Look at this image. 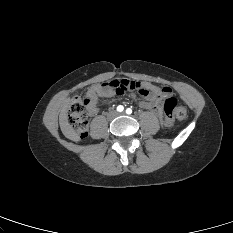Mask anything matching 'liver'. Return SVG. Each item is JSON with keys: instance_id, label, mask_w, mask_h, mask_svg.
Returning <instances> with one entry per match:
<instances>
[{"instance_id": "6515ba94", "label": "liver", "mask_w": 233, "mask_h": 233, "mask_svg": "<svg viewBox=\"0 0 233 233\" xmlns=\"http://www.w3.org/2000/svg\"><path fill=\"white\" fill-rule=\"evenodd\" d=\"M69 105H70V100L68 98L64 99L60 105L59 125L62 133L65 136H68L72 131V128L68 123V119H67V112Z\"/></svg>"}]
</instances>
